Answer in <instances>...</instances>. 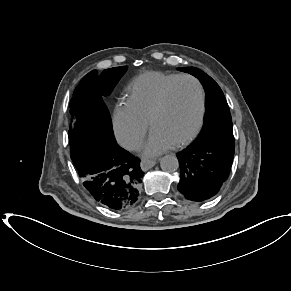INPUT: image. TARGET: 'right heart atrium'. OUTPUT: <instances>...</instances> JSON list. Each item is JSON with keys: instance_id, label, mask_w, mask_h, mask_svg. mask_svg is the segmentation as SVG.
<instances>
[{"instance_id": "d8ad5b80", "label": "right heart atrium", "mask_w": 291, "mask_h": 291, "mask_svg": "<svg viewBox=\"0 0 291 291\" xmlns=\"http://www.w3.org/2000/svg\"><path fill=\"white\" fill-rule=\"evenodd\" d=\"M113 125L119 142L130 150H137L141 146L148 131V123L137 117L127 103H120L116 107Z\"/></svg>"}]
</instances>
